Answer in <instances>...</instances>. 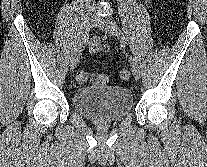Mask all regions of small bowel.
Instances as JSON below:
<instances>
[{
  "instance_id": "1",
  "label": "small bowel",
  "mask_w": 207,
  "mask_h": 167,
  "mask_svg": "<svg viewBox=\"0 0 207 167\" xmlns=\"http://www.w3.org/2000/svg\"><path fill=\"white\" fill-rule=\"evenodd\" d=\"M151 1L152 0H147V3H150ZM88 49L89 53L94 56H98L101 53L105 52V48L97 38H94L90 41Z\"/></svg>"
}]
</instances>
